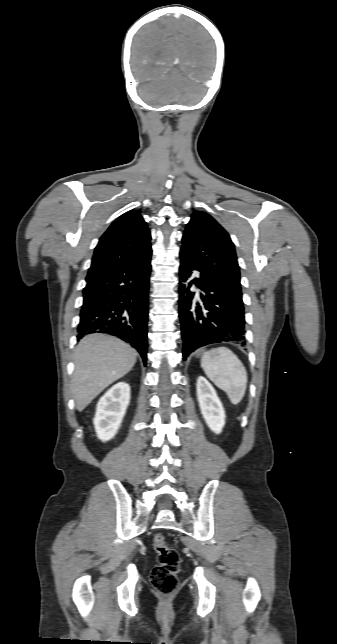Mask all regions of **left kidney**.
Wrapping results in <instances>:
<instances>
[{
	"mask_svg": "<svg viewBox=\"0 0 337 644\" xmlns=\"http://www.w3.org/2000/svg\"><path fill=\"white\" fill-rule=\"evenodd\" d=\"M196 388L199 407L206 424L214 433H221L226 416L215 389L203 376L198 377Z\"/></svg>",
	"mask_w": 337,
	"mask_h": 644,
	"instance_id": "left-kidney-1",
	"label": "left kidney"
}]
</instances>
